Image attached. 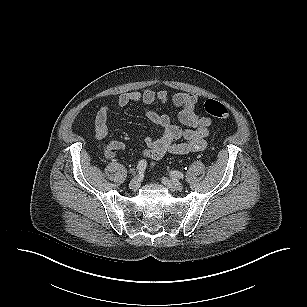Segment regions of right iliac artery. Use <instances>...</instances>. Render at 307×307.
<instances>
[{
	"mask_svg": "<svg viewBox=\"0 0 307 307\" xmlns=\"http://www.w3.org/2000/svg\"><path fill=\"white\" fill-rule=\"evenodd\" d=\"M146 166H147L146 160H140L137 165L136 171L133 172V175H136L137 173L139 174L142 173L146 169Z\"/></svg>",
	"mask_w": 307,
	"mask_h": 307,
	"instance_id": "1",
	"label": "right iliac artery"
}]
</instances>
